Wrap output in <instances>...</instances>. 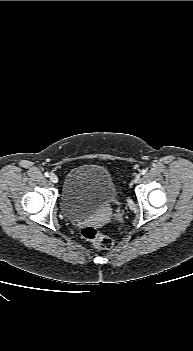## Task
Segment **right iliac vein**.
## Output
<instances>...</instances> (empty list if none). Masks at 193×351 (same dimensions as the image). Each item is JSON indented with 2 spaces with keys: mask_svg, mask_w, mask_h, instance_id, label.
Here are the masks:
<instances>
[{
  "mask_svg": "<svg viewBox=\"0 0 193 351\" xmlns=\"http://www.w3.org/2000/svg\"><path fill=\"white\" fill-rule=\"evenodd\" d=\"M50 181H51L52 183H57V182H58V177H57V175L51 174V175H50Z\"/></svg>",
  "mask_w": 193,
  "mask_h": 351,
  "instance_id": "63e3f726",
  "label": "right iliac vein"
}]
</instances>
